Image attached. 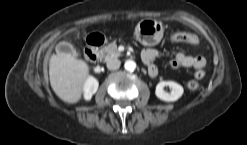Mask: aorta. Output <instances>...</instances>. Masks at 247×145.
Instances as JSON below:
<instances>
[{
  "label": "aorta",
  "instance_id": "762f6f07",
  "mask_svg": "<svg viewBox=\"0 0 247 145\" xmlns=\"http://www.w3.org/2000/svg\"><path fill=\"white\" fill-rule=\"evenodd\" d=\"M124 68L125 70L132 72L136 68V63L132 60H127L124 64Z\"/></svg>",
  "mask_w": 247,
  "mask_h": 145
}]
</instances>
